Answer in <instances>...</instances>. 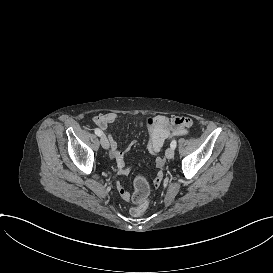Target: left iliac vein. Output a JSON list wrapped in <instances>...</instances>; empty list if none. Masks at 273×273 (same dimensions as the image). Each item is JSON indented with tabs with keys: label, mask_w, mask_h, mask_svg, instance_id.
I'll list each match as a JSON object with an SVG mask.
<instances>
[{
	"label": "left iliac vein",
	"mask_w": 273,
	"mask_h": 273,
	"mask_svg": "<svg viewBox=\"0 0 273 273\" xmlns=\"http://www.w3.org/2000/svg\"><path fill=\"white\" fill-rule=\"evenodd\" d=\"M165 156L167 159H172L174 157V149L173 148H168L166 151H165Z\"/></svg>",
	"instance_id": "1"
}]
</instances>
